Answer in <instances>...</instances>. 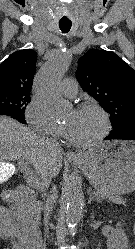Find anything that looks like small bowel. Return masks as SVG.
I'll return each instance as SVG.
<instances>
[{"label": "small bowel", "mask_w": 135, "mask_h": 249, "mask_svg": "<svg viewBox=\"0 0 135 249\" xmlns=\"http://www.w3.org/2000/svg\"><path fill=\"white\" fill-rule=\"evenodd\" d=\"M0 238L8 240L11 244L6 249H24L26 237L24 225L12 206L0 205Z\"/></svg>", "instance_id": "small-bowel-1"}]
</instances>
